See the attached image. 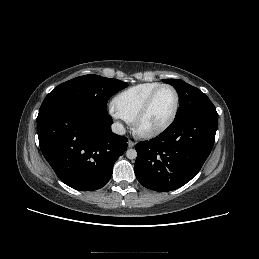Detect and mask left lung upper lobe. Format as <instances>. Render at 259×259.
Instances as JSON below:
<instances>
[{
	"instance_id": "1",
	"label": "left lung upper lobe",
	"mask_w": 259,
	"mask_h": 259,
	"mask_svg": "<svg viewBox=\"0 0 259 259\" xmlns=\"http://www.w3.org/2000/svg\"><path fill=\"white\" fill-rule=\"evenodd\" d=\"M162 81L173 85L179 94L180 105L175 118L199 112L217 114L213 103L198 88L179 79H163Z\"/></svg>"
}]
</instances>
